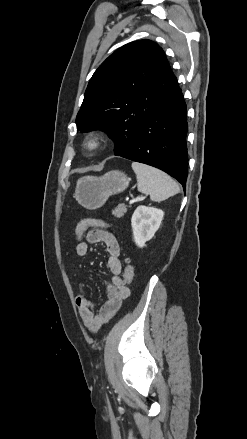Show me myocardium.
<instances>
[{
	"mask_svg": "<svg viewBox=\"0 0 247 439\" xmlns=\"http://www.w3.org/2000/svg\"><path fill=\"white\" fill-rule=\"evenodd\" d=\"M104 142V135L99 131H91L86 134L82 141V148L86 152L97 151Z\"/></svg>",
	"mask_w": 247,
	"mask_h": 439,
	"instance_id": "1",
	"label": "myocardium"
}]
</instances>
